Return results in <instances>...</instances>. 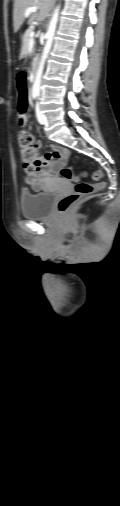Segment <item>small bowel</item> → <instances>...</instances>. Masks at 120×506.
<instances>
[{
    "mask_svg": "<svg viewBox=\"0 0 120 506\" xmlns=\"http://www.w3.org/2000/svg\"><path fill=\"white\" fill-rule=\"evenodd\" d=\"M37 147L42 146L41 142L36 143ZM70 151L67 148L51 146V151L46 155L39 156L38 169L25 178V182L35 191L45 187L50 180L59 176V171L65 165Z\"/></svg>",
    "mask_w": 120,
    "mask_h": 506,
    "instance_id": "small-bowel-1",
    "label": "small bowel"
}]
</instances>
